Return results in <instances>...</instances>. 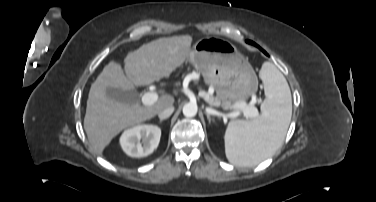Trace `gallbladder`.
<instances>
[{
  "label": "gallbladder",
  "instance_id": "1",
  "mask_svg": "<svg viewBox=\"0 0 376 202\" xmlns=\"http://www.w3.org/2000/svg\"><path fill=\"white\" fill-rule=\"evenodd\" d=\"M106 95L108 98L117 102H132L136 98V90H121L117 88L107 87Z\"/></svg>",
  "mask_w": 376,
  "mask_h": 202
}]
</instances>
